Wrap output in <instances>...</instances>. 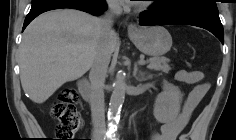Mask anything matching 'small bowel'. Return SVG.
Masks as SVG:
<instances>
[{
	"label": "small bowel",
	"instance_id": "small-bowel-1",
	"mask_svg": "<svg viewBox=\"0 0 236 140\" xmlns=\"http://www.w3.org/2000/svg\"><path fill=\"white\" fill-rule=\"evenodd\" d=\"M176 78L180 82L194 85V88L187 96L181 112L171 121L164 123L160 130L153 134L151 140H177L193 111L209 89V84L204 82V74L201 71L180 70Z\"/></svg>",
	"mask_w": 236,
	"mask_h": 140
}]
</instances>
